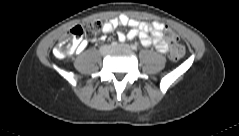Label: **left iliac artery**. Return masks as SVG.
I'll return each mask as SVG.
<instances>
[{
	"instance_id": "left-iliac-artery-1",
	"label": "left iliac artery",
	"mask_w": 239,
	"mask_h": 136,
	"mask_svg": "<svg viewBox=\"0 0 239 136\" xmlns=\"http://www.w3.org/2000/svg\"><path fill=\"white\" fill-rule=\"evenodd\" d=\"M131 48H132L133 50H136V49H137V46H136V45H131Z\"/></svg>"
}]
</instances>
